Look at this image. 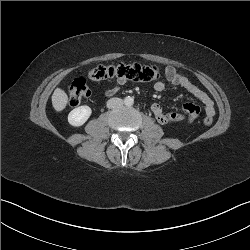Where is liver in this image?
Returning a JSON list of instances; mask_svg holds the SVG:
<instances>
[{
	"mask_svg": "<svg viewBox=\"0 0 250 250\" xmlns=\"http://www.w3.org/2000/svg\"><path fill=\"white\" fill-rule=\"evenodd\" d=\"M68 103L66 92L60 88H56L52 95V105L57 112L65 109Z\"/></svg>",
	"mask_w": 250,
	"mask_h": 250,
	"instance_id": "liver-1",
	"label": "liver"
}]
</instances>
